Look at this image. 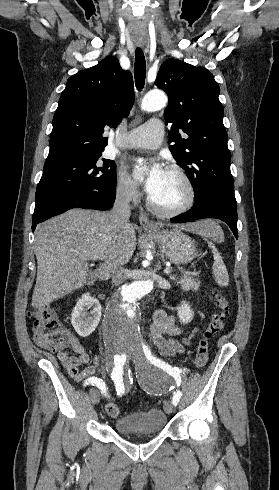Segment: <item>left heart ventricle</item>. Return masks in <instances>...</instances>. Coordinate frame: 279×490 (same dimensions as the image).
I'll return each instance as SVG.
<instances>
[{
  "label": "left heart ventricle",
  "instance_id": "1",
  "mask_svg": "<svg viewBox=\"0 0 279 490\" xmlns=\"http://www.w3.org/2000/svg\"><path fill=\"white\" fill-rule=\"evenodd\" d=\"M186 197L183 182L173 173L166 171L164 184L159 195L153 200L164 207H175Z\"/></svg>",
  "mask_w": 279,
  "mask_h": 490
}]
</instances>
